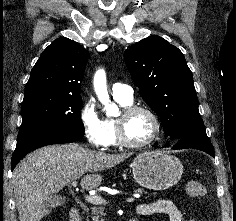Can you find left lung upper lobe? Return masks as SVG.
I'll return each mask as SVG.
<instances>
[{"label": "left lung upper lobe", "mask_w": 236, "mask_h": 221, "mask_svg": "<svg viewBox=\"0 0 236 221\" xmlns=\"http://www.w3.org/2000/svg\"><path fill=\"white\" fill-rule=\"evenodd\" d=\"M127 68L166 135L179 139L206 133L192 72L182 52L160 36L147 37L124 52Z\"/></svg>", "instance_id": "5c2ea615"}]
</instances>
